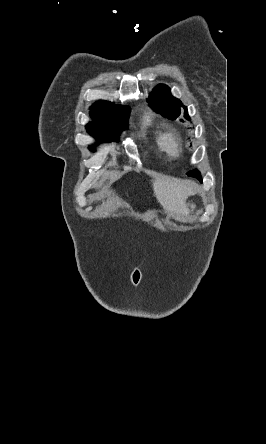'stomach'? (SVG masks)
<instances>
[{
  "label": "stomach",
  "mask_w": 266,
  "mask_h": 444,
  "mask_svg": "<svg viewBox=\"0 0 266 444\" xmlns=\"http://www.w3.org/2000/svg\"><path fill=\"white\" fill-rule=\"evenodd\" d=\"M194 209H195V205H194V203L191 202V201H188V202L186 203V214H187L188 216H191V215L193 214V212H194Z\"/></svg>",
  "instance_id": "stomach-1"
}]
</instances>
